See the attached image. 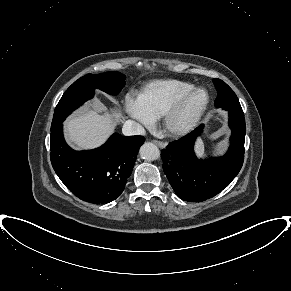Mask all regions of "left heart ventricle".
<instances>
[{"label":"left heart ventricle","instance_id":"obj_1","mask_svg":"<svg viewBox=\"0 0 291 291\" xmlns=\"http://www.w3.org/2000/svg\"><path fill=\"white\" fill-rule=\"evenodd\" d=\"M205 101V93L197 92L195 93L185 104L182 111L176 119V124H183L187 122L203 105Z\"/></svg>","mask_w":291,"mask_h":291}]
</instances>
